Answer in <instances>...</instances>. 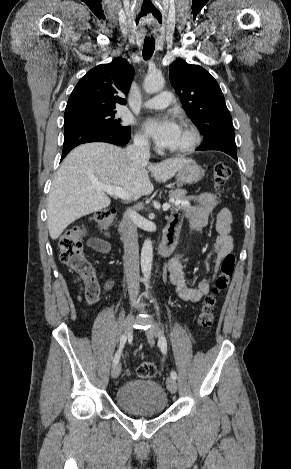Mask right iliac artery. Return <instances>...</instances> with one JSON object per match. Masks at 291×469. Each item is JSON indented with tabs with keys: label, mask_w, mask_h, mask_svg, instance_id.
I'll use <instances>...</instances> for the list:
<instances>
[{
	"label": "right iliac artery",
	"mask_w": 291,
	"mask_h": 469,
	"mask_svg": "<svg viewBox=\"0 0 291 469\" xmlns=\"http://www.w3.org/2000/svg\"><path fill=\"white\" fill-rule=\"evenodd\" d=\"M126 335H122L121 338H120V346H119V349L118 351L116 352L115 356H114V359H113V364H117L119 362V359H120V356H121V352H122V349L126 343Z\"/></svg>",
	"instance_id": "82829eb1"
}]
</instances>
